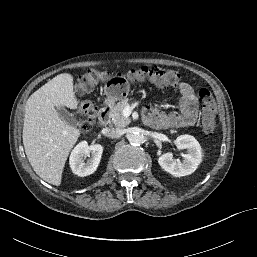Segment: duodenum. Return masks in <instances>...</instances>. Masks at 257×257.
Returning <instances> with one entry per match:
<instances>
[{
  "label": "duodenum",
  "mask_w": 257,
  "mask_h": 257,
  "mask_svg": "<svg viewBox=\"0 0 257 257\" xmlns=\"http://www.w3.org/2000/svg\"><path fill=\"white\" fill-rule=\"evenodd\" d=\"M112 106L111 104H105L99 111L98 119L99 123L102 126H105L109 123L110 120V113H111Z\"/></svg>",
  "instance_id": "duodenum-1"
}]
</instances>
